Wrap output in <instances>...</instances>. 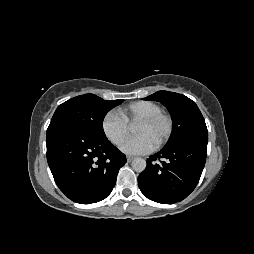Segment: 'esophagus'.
I'll list each match as a JSON object with an SVG mask.
<instances>
[{"mask_svg": "<svg viewBox=\"0 0 254 254\" xmlns=\"http://www.w3.org/2000/svg\"><path fill=\"white\" fill-rule=\"evenodd\" d=\"M134 157L132 156H127V162H131L133 160Z\"/></svg>", "mask_w": 254, "mask_h": 254, "instance_id": "esophagus-1", "label": "esophagus"}]
</instances>
